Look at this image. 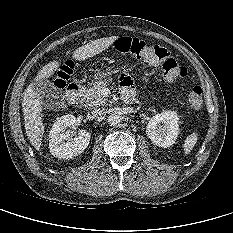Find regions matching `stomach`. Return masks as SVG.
I'll return each instance as SVG.
<instances>
[{"label":"stomach","mask_w":233,"mask_h":233,"mask_svg":"<svg viewBox=\"0 0 233 233\" xmlns=\"http://www.w3.org/2000/svg\"><path fill=\"white\" fill-rule=\"evenodd\" d=\"M113 71L111 68H108L106 71L102 72L99 76L100 80H103L105 78H109L112 75Z\"/></svg>","instance_id":"obj_1"}]
</instances>
